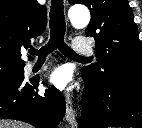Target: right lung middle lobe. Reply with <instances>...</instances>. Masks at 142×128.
<instances>
[{"instance_id":"1","label":"right lung middle lobe","mask_w":142,"mask_h":128,"mask_svg":"<svg viewBox=\"0 0 142 128\" xmlns=\"http://www.w3.org/2000/svg\"><path fill=\"white\" fill-rule=\"evenodd\" d=\"M24 79V69H2L0 70V89L11 87Z\"/></svg>"}]
</instances>
